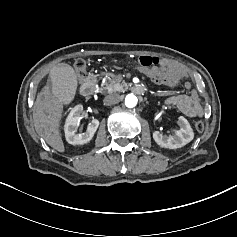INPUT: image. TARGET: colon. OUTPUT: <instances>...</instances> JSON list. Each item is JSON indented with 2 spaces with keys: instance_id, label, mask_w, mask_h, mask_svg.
<instances>
[{
  "instance_id": "obj_1",
  "label": "colon",
  "mask_w": 237,
  "mask_h": 237,
  "mask_svg": "<svg viewBox=\"0 0 237 237\" xmlns=\"http://www.w3.org/2000/svg\"><path fill=\"white\" fill-rule=\"evenodd\" d=\"M164 60L155 56H140L138 58V65L146 69H154L156 73L151 77V80L157 84H169L171 77L165 74L162 70ZM74 69L79 76H83L86 72V63L84 60H76L74 63ZM195 128L198 132H203L205 124L202 121L195 123Z\"/></svg>"
}]
</instances>
